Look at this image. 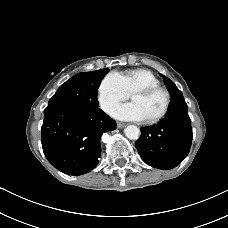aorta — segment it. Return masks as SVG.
I'll return each instance as SVG.
<instances>
[{
	"label": "aorta",
	"instance_id": "obj_1",
	"mask_svg": "<svg viewBox=\"0 0 228 228\" xmlns=\"http://www.w3.org/2000/svg\"><path fill=\"white\" fill-rule=\"evenodd\" d=\"M124 133L128 139L136 140L140 136V129L135 125H129L124 129Z\"/></svg>",
	"mask_w": 228,
	"mask_h": 228
}]
</instances>
